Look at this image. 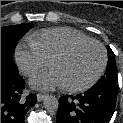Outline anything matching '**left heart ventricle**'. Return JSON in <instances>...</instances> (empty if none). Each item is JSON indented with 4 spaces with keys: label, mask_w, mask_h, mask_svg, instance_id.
<instances>
[{
    "label": "left heart ventricle",
    "mask_w": 123,
    "mask_h": 123,
    "mask_svg": "<svg viewBox=\"0 0 123 123\" xmlns=\"http://www.w3.org/2000/svg\"><path fill=\"white\" fill-rule=\"evenodd\" d=\"M102 62V52L95 44L76 49L69 56L56 60L52 69L60 75L64 85L77 86L94 77Z\"/></svg>",
    "instance_id": "b2bd125f"
}]
</instances>
